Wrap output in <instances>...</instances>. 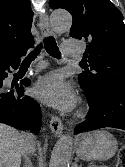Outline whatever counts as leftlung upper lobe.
I'll return each mask as SVG.
<instances>
[{
	"mask_svg": "<svg viewBox=\"0 0 125 167\" xmlns=\"http://www.w3.org/2000/svg\"><path fill=\"white\" fill-rule=\"evenodd\" d=\"M49 5L69 11L73 17L70 36L87 41L86 72L78 77L87 98H94L104 87L125 86V24L112 2L50 0Z\"/></svg>",
	"mask_w": 125,
	"mask_h": 167,
	"instance_id": "left-lung-upper-lobe-1",
	"label": "left lung upper lobe"
}]
</instances>
